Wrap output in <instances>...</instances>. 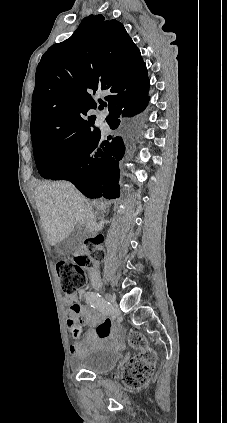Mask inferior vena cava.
Listing matches in <instances>:
<instances>
[{"label": "inferior vena cava", "instance_id": "602c4592", "mask_svg": "<svg viewBox=\"0 0 227 423\" xmlns=\"http://www.w3.org/2000/svg\"><path fill=\"white\" fill-rule=\"evenodd\" d=\"M83 206L85 208V213H86V217H87L86 225H88V227H91V225H95V223H96L95 215H94L93 211L91 210L88 202H84ZM89 275H90L91 281H99L100 271H99L98 263H94V267H91V269L89 271Z\"/></svg>", "mask_w": 227, "mask_h": 423}]
</instances>
